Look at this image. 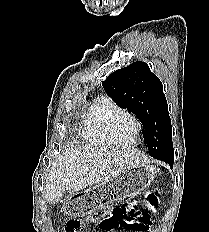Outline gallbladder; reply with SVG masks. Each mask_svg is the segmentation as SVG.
Instances as JSON below:
<instances>
[{"instance_id": "1", "label": "gallbladder", "mask_w": 209, "mask_h": 232, "mask_svg": "<svg viewBox=\"0 0 209 232\" xmlns=\"http://www.w3.org/2000/svg\"><path fill=\"white\" fill-rule=\"evenodd\" d=\"M69 196L70 194H63L56 200V202H64L66 199H68Z\"/></svg>"}]
</instances>
